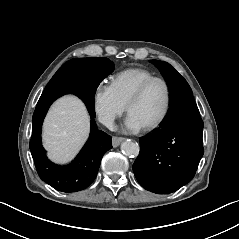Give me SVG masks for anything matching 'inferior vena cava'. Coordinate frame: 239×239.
<instances>
[{"instance_id": "obj_1", "label": "inferior vena cava", "mask_w": 239, "mask_h": 239, "mask_svg": "<svg viewBox=\"0 0 239 239\" xmlns=\"http://www.w3.org/2000/svg\"><path fill=\"white\" fill-rule=\"evenodd\" d=\"M103 124L110 130V131H117V125L114 123L113 119L104 118Z\"/></svg>"}]
</instances>
